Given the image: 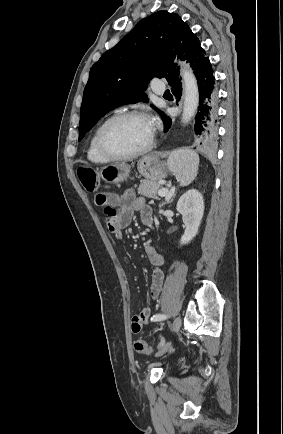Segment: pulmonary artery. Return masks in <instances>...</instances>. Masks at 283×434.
Returning a JSON list of instances; mask_svg holds the SVG:
<instances>
[{
    "label": "pulmonary artery",
    "mask_w": 283,
    "mask_h": 434,
    "mask_svg": "<svg viewBox=\"0 0 283 434\" xmlns=\"http://www.w3.org/2000/svg\"><path fill=\"white\" fill-rule=\"evenodd\" d=\"M152 91L157 95H161L165 91V85L159 81L154 82L152 85Z\"/></svg>",
    "instance_id": "pulmonary-artery-1"
}]
</instances>
